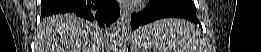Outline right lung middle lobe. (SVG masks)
Returning a JSON list of instances; mask_svg holds the SVG:
<instances>
[{"label": "right lung middle lobe", "instance_id": "dd1d6c3e", "mask_svg": "<svg viewBox=\"0 0 261 52\" xmlns=\"http://www.w3.org/2000/svg\"><path fill=\"white\" fill-rule=\"evenodd\" d=\"M90 21H92V20H90ZM94 23H96V24L98 25V23H97V22H95V21H94Z\"/></svg>", "mask_w": 261, "mask_h": 52}]
</instances>
